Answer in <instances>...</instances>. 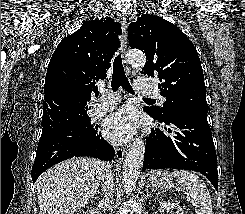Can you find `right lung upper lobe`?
<instances>
[{"instance_id":"right-lung-upper-lobe-1","label":"right lung upper lobe","mask_w":245,"mask_h":214,"mask_svg":"<svg viewBox=\"0 0 245 214\" xmlns=\"http://www.w3.org/2000/svg\"><path fill=\"white\" fill-rule=\"evenodd\" d=\"M121 26L111 18L83 23L54 51L46 73L43 129L58 127L88 109L98 96L95 81L105 79L113 54L120 47Z\"/></svg>"}]
</instances>
